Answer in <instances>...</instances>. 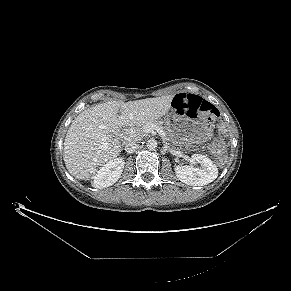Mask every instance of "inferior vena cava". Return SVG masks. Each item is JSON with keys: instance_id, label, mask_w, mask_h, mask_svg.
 <instances>
[{"instance_id": "602c4592", "label": "inferior vena cava", "mask_w": 291, "mask_h": 291, "mask_svg": "<svg viewBox=\"0 0 291 291\" xmlns=\"http://www.w3.org/2000/svg\"><path fill=\"white\" fill-rule=\"evenodd\" d=\"M139 143L136 140L129 141L125 146L127 153H133L139 148Z\"/></svg>"}]
</instances>
